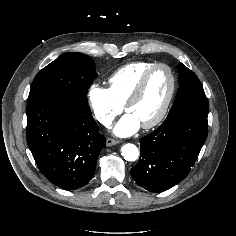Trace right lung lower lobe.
<instances>
[{"label":"right lung lower lobe","mask_w":236,"mask_h":236,"mask_svg":"<svg viewBox=\"0 0 236 236\" xmlns=\"http://www.w3.org/2000/svg\"><path fill=\"white\" fill-rule=\"evenodd\" d=\"M26 111L27 143L42 174L65 190L86 185L106 146L89 106L40 99L27 103Z\"/></svg>","instance_id":"obj_1"}]
</instances>
